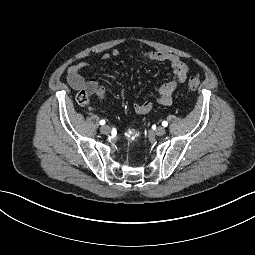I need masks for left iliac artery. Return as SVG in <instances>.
Returning a JSON list of instances; mask_svg holds the SVG:
<instances>
[{
    "mask_svg": "<svg viewBox=\"0 0 255 255\" xmlns=\"http://www.w3.org/2000/svg\"><path fill=\"white\" fill-rule=\"evenodd\" d=\"M162 125H163L164 127H167V126H168V123H167L166 121H163V122H162Z\"/></svg>",
    "mask_w": 255,
    "mask_h": 255,
    "instance_id": "44dca946",
    "label": "left iliac artery"
}]
</instances>
